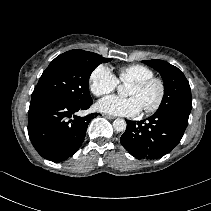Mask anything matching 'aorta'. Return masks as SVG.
Wrapping results in <instances>:
<instances>
[{
    "label": "aorta",
    "instance_id": "762f6f07",
    "mask_svg": "<svg viewBox=\"0 0 211 211\" xmlns=\"http://www.w3.org/2000/svg\"><path fill=\"white\" fill-rule=\"evenodd\" d=\"M113 128L118 131L122 132L126 129V122L124 119H116L113 122Z\"/></svg>",
    "mask_w": 211,
    "mask_h": 211
}]
</instances>
